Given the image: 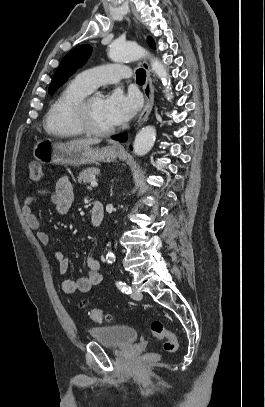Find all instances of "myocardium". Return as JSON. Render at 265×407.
I'll return each mask as SVG.
<instances>
[{"label": "myocardium", "mask_w": 265, "mask_h": 407, "mask_svg": "<svg viewBox=\"0 0 265 407\" xmlns=\"http://www.w3.org/2000/svg\"><path fill=\"white\" fill-rule=\"evenodd\" d=\"M95 96H86L76 102L71 110L75 126L83 133L93 137H106L114 132V128L98 129L91 120L90 105Z\"/></svg>", "instance_id": "1"}]
</instances>
